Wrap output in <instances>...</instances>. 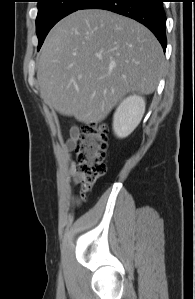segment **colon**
Instances as JSON below:
<instances>
[{"label":"colon","mask_w":195,"mask_h":299,"mask_svg":"<svg viewBox=\"0 0 195 299\" xmlns=\"http://www.w3.org/2000/svg\"><path fill=\"white\" fill-rule=\"evenodd\" d=\"M105 126L89 123L82 127L75 146L76 182L80 186V200L93 188L97 179L106 172L105 159L108 144L105 137Z\"/></svg>","instance_id":"obj_1"}]
</instances>
